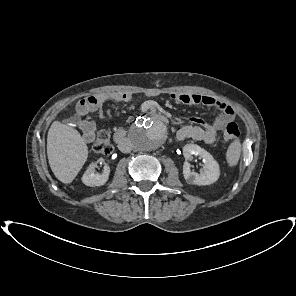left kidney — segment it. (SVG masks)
<instances>
[{
  "instance_id": "5707ae66",
  "label": "left kidney",
  "mask_w": 296,
  "mask_h": 296,
  "mask_svg": "<svg viewBox=\"0 0 296 296\" xmlns=\"http://www.w3.org/2000/svg\"><path fill=\"white\" fill-rule=\"evenodd\" d=\"M183 155L186 159L183 165V175L188 184L210 185L218 180L220 176L219 165L205 149L195 144H186L183 147ZM194 155L199 156L204 163L201 173L190 169L188 160H192Z\"/></svg>"
}]
</instances>
